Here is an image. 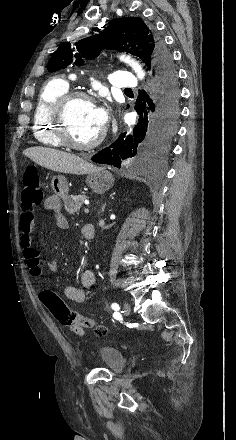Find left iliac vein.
<instances>
[{"label": "left iliac vein", "instance_id": "4c4485c4", "mask_svg": "<svg viewBox=\"0 0 236 440\" xmlns=\"http://www.w3.org/2000/svg\"><path fill=\"white\" fill-rule=\"evenodd\" d=\"M123 312L126 316H129L131 314V306L129 303H124L123 305Z\"/></svg>", "mask_w": 236, "mask_h": 440}]
</instances>
